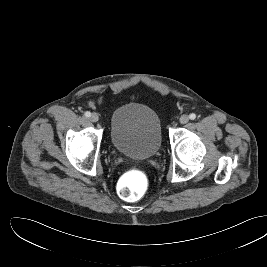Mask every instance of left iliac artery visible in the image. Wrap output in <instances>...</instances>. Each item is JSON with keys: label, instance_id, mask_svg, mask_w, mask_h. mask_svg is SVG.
I'll return each mask as SVG.
<instances>
[{"label": "left iliac artery", "instance_id": "44dca946", "mask_svg": "<svg viewBox=\"0 0 267 267\" xmlns=\"http://www.w3.org/2000/svg\"><path fill=\"white\" fill-rule=\"evenodd\" d=\"M189 118H190L191 120H194V119L196 118V114L191 113V114L189 115Z\"/></svg>", "mask_w": 267, "mask_h": 267}]
</instances>
